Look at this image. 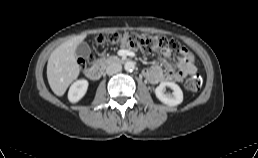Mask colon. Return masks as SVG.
<instances>
[{
    "label": "colon",
    "mask_w": 258,
    "mask_h": 158,
    "mask_svg": "<svg viewBox=\"0 0 258 158\" xmlns=\"http://www.w3.org/2000/svg\"><path fill=\"white\" fill-rule=\"evenodd\" d=\"M98 41L108 44H119L125 48L139 49L144 52H174L180 53L181 45L174 39L162 35L142 34L135 32L112 33L106 36H100ZM91 58L88 62H91ZM185 89L191 93H196L201 89L202 79L198 75L189 77L185 81Z\"/></svg>",
    "instance_id": "5ec220e1"
}]
</instances>
